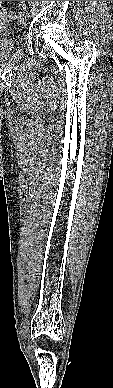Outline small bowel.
<instances>
[{"mask_svg":"<svg viewBox=\"0 0 113 388\" xmlns=\"http://www.w3.org/2000/svg\"><path fill=\"white\" fill-rule=\"evenodd\" d=\"M2 15H5V12L3 11V9L1 8V1H0V20H1V16Z\"/></svg>","mask_w":113,"mask_h":388,"instance_id":"c3829d8e","label":"small bowel"}]
</instances>
